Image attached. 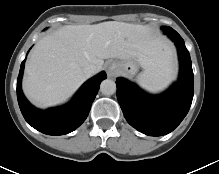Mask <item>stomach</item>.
<instances>
[{"label": "stomach", "instance_id": "stomach-1", "mask_svg": "<svg viewBox=\"0 0 219 174\" xmlns=\"http://www.w3.org/2000/svg\"><path fill=\"white\" fill-rule=\"evenodd\" d=\"M118 70L125 75H134L138 70V65L135 59L122 60L117 62Z\"/></svg>", "mask_w": 219, "mask_h": 174}]
</instances>
